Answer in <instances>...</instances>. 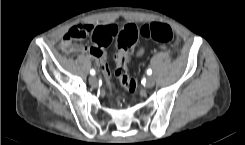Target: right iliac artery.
Segmentation results:
<instances>
[{
    "instance_id": "1",
    "label": "right iliac artery",
    "mask_w": 245,
    "mask_h": 145,
    "mask_svg": "<svg viewBox=\"0 0 245 145\" xmlns=\"http://www.w3.org/2000/svg\"><path fill=\"white\" fill-rule=\"evenodd\" d=\"M90 74L95 75V70L94 69L90 70Z\"/></svg>"
}]
</instances>
